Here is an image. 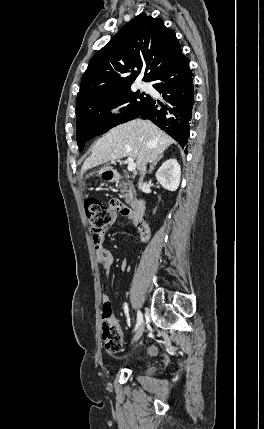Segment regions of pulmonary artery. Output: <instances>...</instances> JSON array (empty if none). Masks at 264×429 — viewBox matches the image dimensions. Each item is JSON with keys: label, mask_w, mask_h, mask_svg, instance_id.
I'll return each mask as SVG.
<instances>
[{"label": "pulmonary artery", "mask_w": 264, "mask_h": 429, "mask_svg": "<svg viewBox=\"0 0 264 429\" xmlns=\"http://www.w3.org/2000/svg\"><path fill=\"white\" fill-rule=\"evenodd\" d=\"M141 88H142V89H146V88H147V84L142 83V84H141Z\"/></svg>", "instance_id": "obj_1"}]
</instances>
